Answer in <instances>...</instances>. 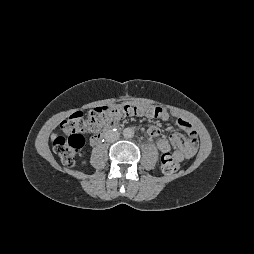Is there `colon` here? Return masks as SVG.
<instances>
[{
	"mask_svg": "<svg viewBox=\"0 0 254 254\" xmlns=\"http://www.w3.org/2000/svg\"><path fill=\"white\" fill-rule=\"evenodd\" d=\"M159 113L160 108L157 107L132 105L98 106L91 109L86 117L80 112L74 113L61 123V133L53 142L54 151L64 165L72 166L84 145V133L109 128L126 116L157 117ZM161 170L165 175H173L179 170V164L170 155H164Z\"/></svg>",
	"mask_w": 254,
	"mask_h": 254,
	"instance_id": "obj_1",
	"label": "colon"
}]
</instances>
